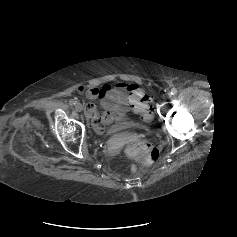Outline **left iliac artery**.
I'll return each mask as SVG.
<instances>
[{
	"mask_svg": "<svg viewBox=\"0 0 237 237\" xmlns=\"http://www.w3.org/2000/svg\"><path fill=\"white\" fill-rule=\"evenodd\" d=\"M177 89L176 88H172L171 91H170V94L171 95H176L177 94Z\"/></svg>",
	"mask_w": 237,
	"mask_h": 237,
	"instance_id": "1",
	"label": "left iliac artery"
}]
</instances>
